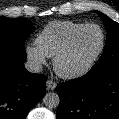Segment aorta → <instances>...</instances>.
<instances>
[{
    "label": "aorta",
    "mask_w": 119,
    "mask_h": 119,
    "mask_svg": "<svg viewBox=\"0 0 119 119\" xmlns=\"http://www.w3.org/2000/svg\"><path fill=\"white\" fill-rule=\"evenodd\" d=\"M45 106L49 109L57 108L60 103V98L57 93L48 92L43 98Z\"/></svg>",
    "instance_id": "aorta-1"
}]
</instances>
